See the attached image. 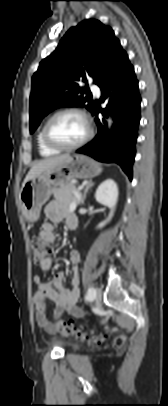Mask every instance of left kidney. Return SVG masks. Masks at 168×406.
Here are the masks:
<instances>
[{
	"label": "left kidney",
	"instance_id": "1",
	"mask_svg": "<svg viewBox=\"0 0 168 406\" xmlns=\"http://www.w3.org/2000/svg\"><path fill=\"white\" fill-rule=\"evenodd\" d=\"M96 201L110 209L106 220L98 225V228L105 226L112 218L118 200V187L114 180L107 179L102 182L95 193Z\"/></svg>",
	"mask_w": 168,
	"mask_h": 406
}]
</instances>
